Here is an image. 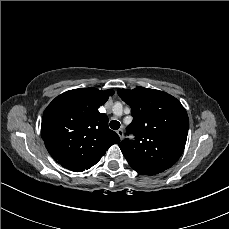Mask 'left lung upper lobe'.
I'll list each match as a JSON object with an SVG mask.
<instances>
[{
	"label": "left lung upper lobe",
	"mask_w": 229,
	"mask_h": 229,
	"mask_svg": "<svg viewBox=\"0 0 229 229\" xmlns=\"http://www.w3.org/2000/svg\"><path fill=\"white\" fill-rule=\"evenodd\" d=\"M132 109L133 121L126 128L135 140L119 147L129 165L139 174L155 175L174 165L182 155L189 119L182 104L170 94L149 88L118 89Z\"/></svg>",
	"instance_id": "obj_1"
}]
</instances>
